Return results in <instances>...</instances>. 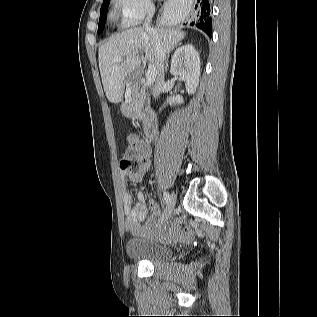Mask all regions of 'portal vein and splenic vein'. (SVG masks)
Here are the masks:
<instances>
[{
	"label": "portal vein and splenic vein",
	"instance_id": "obj_1",
	"mask_svg": "<svg viewBox=\"0 0 317 317\" xmlns=\"http://www.w3.org/2000/svg\"><path fill=\"white\" fill-rule=\"evenodd\" d=\"M119 59H121V58H119ZM156 74H157L156 67H154V65L150 64L148 66V71L146 74V78H147L146 85H151L153 83V81L155 80Z\"/></svg>",
	"mask_w": 317,
	"mask_h": 317
}]
</instances>
